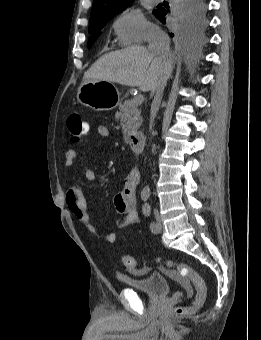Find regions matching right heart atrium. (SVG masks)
Returning <instances> with one entry per match:
<instances>
[{"instance_id":"right-heart-atrium-1","label":"right heart atrium","mask_w":261,"mask_h":340,"mask_svg":"<svg viewBox=\"0 0 261 340\" xmlns=\"http://www.w3.org/2000/svg\"><path fill=\"white\" fill-rule=\"evenodd\" d=\"M113 27L120 43L124 45L142 43L159 33L157 27L135 8L121 11L114 18Z\"/></svg>"}]
</instances>
